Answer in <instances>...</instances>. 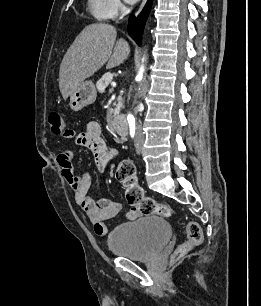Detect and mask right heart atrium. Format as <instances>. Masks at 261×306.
<instances>
[{"mask_svg":"<svg viewBox=\"0 0 261 306\" xmlns=\"http://www.w3.org/2000/svg\"><path fill=\"white\" fill-rule=\"evenodd\" d=\"M108 3V18L117 17L123 10V5L120 0H107Z\"/></svg>","mask_w":261,"mask_h":306,"instance_id":"d8ad5b80","label":"right heart atrium"}]
</instances>
